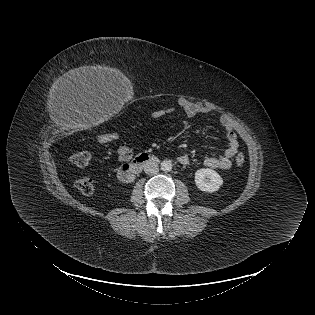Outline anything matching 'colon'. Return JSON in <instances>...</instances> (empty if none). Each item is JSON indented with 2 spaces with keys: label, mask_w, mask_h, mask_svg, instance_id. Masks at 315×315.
I'll return each mask as SVG.
<instances>
[{
  "label": "colon",
  "mask_w": 315,
  "mask_h": 315,
  "mask_svg": "<svg viewBox=\"0 0 315 315\" xmlns=\"http://www.w3.org/2000/svg\"><path fill=\"white\" fill-rule=\"evenodd\" d=\"M100 142L107 143L114 141L116 136L114 134H103L98 137ZM71 162L78 167H86L91 160L90 152L86 150H80L74 152L71 157ZM245 162V156L242 153L237 154L235 163L238 166H242ZM74 185L76 188L85 195H89L94 191V181L90 176H81L75 179Z\"/></svg>",
  "instance_id": "1"
}]
</instances>
